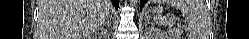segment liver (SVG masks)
<instances>
[{"mask_svg":"<svg viewBox=\"0 0 249 39\" xmlns=\"http://www.w3.org/2000/svg\"><path fill=\"white\" fill-rule=\"evenodd\" d=\"M111 9L109 0H40L41 39H91Z\"/></svg>","mask_w":249,"mask_h":39,"instance_id":"obj_1","label":"liver"}]
</instances>
